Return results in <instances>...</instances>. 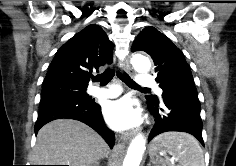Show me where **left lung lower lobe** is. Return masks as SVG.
<instances>
[{
	"label": "left lung lower lobe",
	"instance_id": "0a47b994",
	"mask_svg": "<svg viewBox=\"0 0 236 166\" xmlns=\"http://www.w3.org/2000/svg\"><path fill=\"white\" fill-rule=\"evenodd\" d=\"M150 112L155 116V125L149 141L168 131L187 132L195 136L202 145L201 105L197 89L193 87H173L163 92L162 106L158 102H148Z\"/></svg>",
	"mask_w": 236,
	"mask_h": 166
}]
</instances>
